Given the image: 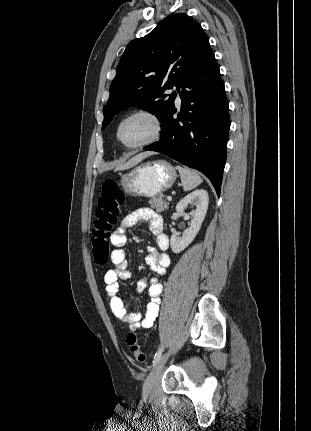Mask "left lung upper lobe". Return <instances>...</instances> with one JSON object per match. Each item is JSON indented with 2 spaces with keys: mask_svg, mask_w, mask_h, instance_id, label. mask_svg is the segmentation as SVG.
I'll use <instances>...</instances> for the list:
<instances>
[{
  "mask_svg": "<svg viewBox=\"0 0 311 431\" xmlns=\"http://www.w3.org/2000/svg\"><path fill=\"white\" fill-rule=\"evenodd\" d=\"M208 49L211 47L202 27L185 13L166 17L148 35L131 41L110 86L102 129L130 106L156 114L163 123L176 97L174 92L169 97L163 92L173 86L179 89Z\"/></svg>",
  "mask_w": 311,
  "mask_h": 431,
  "instance_id": "5c2ea615",
  "label": "left lung upper lobe"
}]
</instances>
